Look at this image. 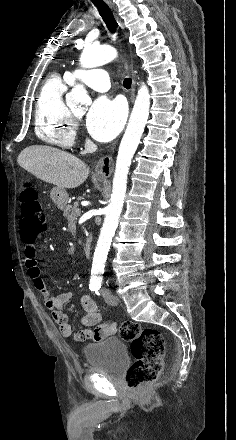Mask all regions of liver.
<instances>
[{"label":"liver","instance_id":"obj_1","mask_svg":"<svg viewBox=\"0 0 236 440\" xmlns=\"http://www.w3.org/2000/svg\"><path fill=\"white\" fill-rule=\"evenodd\" d=\"M17 162L38 179L62 189L79 187L89 175V168L79 158L50 146L27 147Z\"/></svg>","mask_w":236,"mask_h":440}]
</instances>
